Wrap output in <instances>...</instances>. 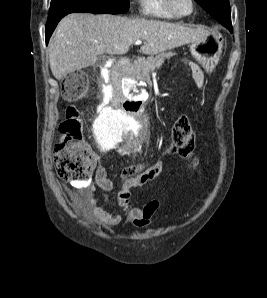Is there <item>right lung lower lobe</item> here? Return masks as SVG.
I'll return each instance as SVG.
<instances>
[{
	"label": "right lung lower lobe",
	"mask_w": 267,
	"mask_h": 298,
	"mask_svg": "<svg viewBox=\"0 0 267 298\" xmlns=\"http://www.w3.org/2000/svg\"><path fill=\"white\" fill-rule=\"evenodd\" d=\"M63 17H64V16H63ZM61 18H62V17L57 18V19H55L54 21L49 22V23L46 24V28H45L46 44L48 43L51 34L53 33V31H54L56 25L58 24V22L60 21Z\"/></svg>",
	"instance_id": "right-lung-lower-lobe-1"
}]
</instances>
